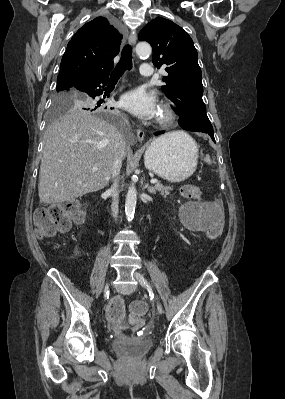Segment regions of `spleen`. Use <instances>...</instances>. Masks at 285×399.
Returning <instances> with one entry per match:
<instances>
[{
	"instance_id": "spleen-1",
	"label": "spleen",
	"mask_w": 285,
	"mask_h": 399,
	"mask_svg": "<svg viewBox=\"0 0 285 399\" xmlns=\"http://www.w3.org/2000/svg\"><path fill=\"white\" fill-rule=\"evenodd\" d=\"M204 161L208 164H211V159L208 155L205 156Z\"/></svg>"
}]
</instances>
